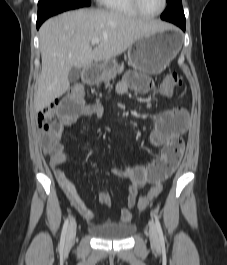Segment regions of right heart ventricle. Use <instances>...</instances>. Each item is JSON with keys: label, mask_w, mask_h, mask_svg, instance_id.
<instances>
[{"label": "right heart ventricle", "mask_w": 227, "mask_h": 265, "mask_svg": "<svg viewBox=\"0 0 227 265\" xmlns=\"http://www.w3.org/2000/svg\"><path fill=\"white\" fill-rule=\"evenodd\" d=\"M101 5L108 11L128 15L139 16L133 7L131 0H99Z\"/></svg>", "instance_id": "1"}]
</instances>
